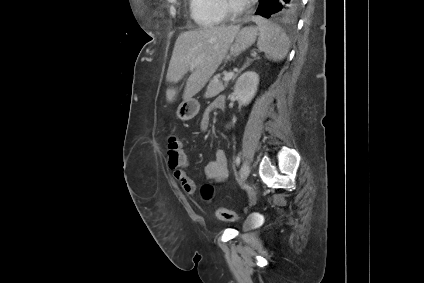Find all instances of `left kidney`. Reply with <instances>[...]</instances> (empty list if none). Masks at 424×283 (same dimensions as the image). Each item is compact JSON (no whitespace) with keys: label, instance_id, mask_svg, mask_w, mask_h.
Wrapping results in <instances>:
<instances>
[{"label":"left kidney","instance_id":"obj_1","mask_svg":"<svg viewBox=\"0 0 424 283\" xmlns=\"http://www.w3.org/2000/svg\"><path fill=\"white\" fill-rule=\"evenodd\" d=\"M259 84V76L252 71L243 73L234 86V93L239 102L246 106L254 98Z\"/></svg>","mask_w":424,"mask_h":283}]
</instances>
